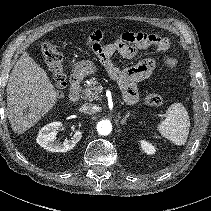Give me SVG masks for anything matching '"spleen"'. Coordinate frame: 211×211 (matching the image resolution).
I'll return each mask as SVG.
<instances>
[{
	"instance_id": "spleen-1",
	"label": "spleen",
	"mask_w": 211,
	"mask_h": 211,
	"mask_svg": "<svg viewBox=\"0 0 211 211\" xmlns=\"http://www.w3.org/2000/svg\"><path fill=\"white\" fill-rule=\"evenodd\" d=\"M166 118L157 126V131L162 137L181 146L186 143L190 121L188 112L181 103H173L165 114Z\"/></svg>"
}]
</instances>
